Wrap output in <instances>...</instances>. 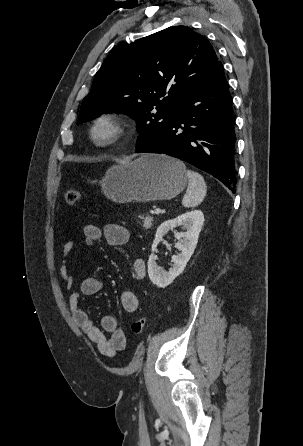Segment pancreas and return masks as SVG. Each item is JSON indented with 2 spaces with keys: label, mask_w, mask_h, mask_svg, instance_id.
Here are the masks:
<instances>
[{
  "label": "pancreas",
  "mask_w": 303,
  "mask_h": 446,
  "mask_svg": "<svg viewBox=\"0 0 303 446\" xmlns=\"http://www.w3.org/2000/svg\"><path fill=\"white\" fill-rule=\"evenodd\" d=\"M140 218L143 219V227L145 229H149L152 227L153 217H151L150 215H146V217L140 216Z\"/></svg>",
  "instance_id": "cf45deb5"
}]
</instances>
